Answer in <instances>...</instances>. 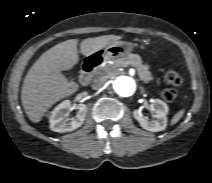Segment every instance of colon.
<instances>
[{"label":"colon","instance_id":"1","mask_svg":"<svg viewBox=\"0 0 212 183\" xmlns=\"http://www.w3.org/2000/svg\"><path fill=\"white\" fill-rule=\"evenodd\" d=\"M162 80L167 86L162 92V97L166 101H173L177 95L175 88L183 83L182 75L176 69L169 68L164 72Z\"/></svg>","mask_w":212,"mask_h":183}]
</instances>
